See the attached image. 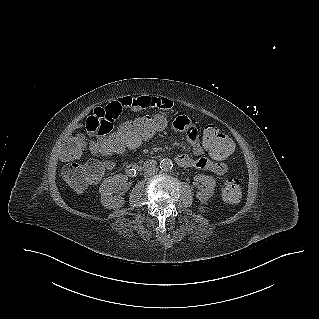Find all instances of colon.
<instances>
[{"mask_svg":"<svg viewBox=\"0 0 319 319\" xmlns=\"http://www.w3.org/2000/svg\"><path fill=\"white\" fill-rule=\"evenodd\" d=\"M95 110V109H94ZM94 112V111H93ZM92 116V115H91ZM170 123L166 115L156 112L151 115H137L136 120L123 123L110 134L99 138L88 136L72 137L62 149V158L68 161L63 168V177L76 190L85 188L89 183L98 181L105 171L112 167V159L121 158L167 133ZM204 141L206 151L219 161L230 159L235 151L234 140L225 132L210 127ZM87 150L90 161L75 162ZM242 197L241 183L237 178H229L222 189L223 200L235 205Z\"/></svg>","mask_w":319,"mask_h":319,"instance_id":"obj_1","label":"colon"}]
</instances>
